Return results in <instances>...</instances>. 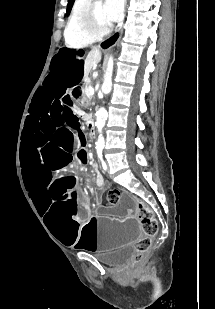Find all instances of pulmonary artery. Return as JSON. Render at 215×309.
I'll list each match as a JSON object with an SVG mask.
<instances>
[{
	"label": "pulmonary artery",
	"mask_w": 215,
	"mask_h": 309,
	"mask_svg": "<svg viewBox=\"0 0 215 309\" xmlns=\"http://www.w3.org/2000/svg\"><path fill=\"white\" fill-rule=\"evenodd\" d=\"M75 8H86V1H75Z\"/></svg>",
	"instance_id": "pulmonary-artery-1"
}]
</instances>
